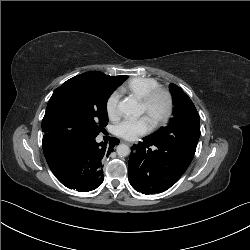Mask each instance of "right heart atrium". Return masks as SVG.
<instances>
[{"instance_id": "right-heart-atrium-1", "label": "right heart atrium", "mask_w": 250, "mask_h": 250, "mask_svg": "<svg viewBox=\"0 0 250 250\" xmlns=\"http://www.w3.org/2000/svg\"><path fill=\"white\" fill-rule=\"evenodd\" d=\"M119 100L120 93L118 91L112 92L106 100V112L110 118H117L119 116Z\"/></svg>"}]
</instances>
